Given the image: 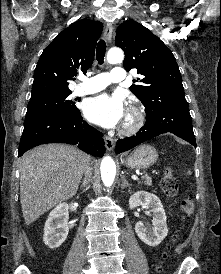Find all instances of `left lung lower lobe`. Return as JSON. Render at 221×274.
I'll use <instances>...</instances> for the list:
<instances>
[{
	"mask_svg": "<svg viewBox=\"0 0 221 274\" xmlns=\"http://www.w3.org/2000/svg\"><path fill=\"white\" fill-rule=\"evenodd\" d=\"M166 132H171L196 147L187 101L179 100L175 104L147 112L145 125L136 136L118 140L116 152L130 150L138 144Z\"/></svg>",
	"mask_w": 221,
	"mask_h": 274,
	"instance_id": "obj_1",
	"label": "left lung lower lobe"
}]
</instances>
